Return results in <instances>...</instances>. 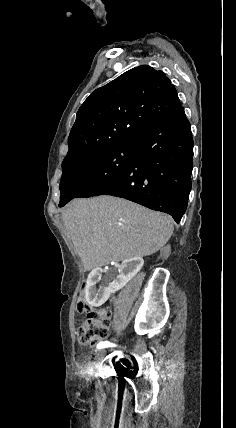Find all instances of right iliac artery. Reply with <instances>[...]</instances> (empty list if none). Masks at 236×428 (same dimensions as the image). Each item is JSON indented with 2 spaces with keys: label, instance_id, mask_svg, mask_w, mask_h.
I'll return each mask as SVG.
<instances>
[{
  "label": "right iliac artery",
  "instance_id": "82829eb1",
  "mask_svg": "<svg viewBox=\"0 0 236 428\" xmlns=\"http://www.w3.org/2000/svg\"><path fill=\"white\" fill-rule=\"evenodd\" d=\"M115 346H116L115 344L110 343V342H108V341H105V342H100V343L97 345V348H98V349H102V348L115 347Z\"/></svg>",
  "mask_w": 236,
  "mask_h": 428
}]
</instances>
